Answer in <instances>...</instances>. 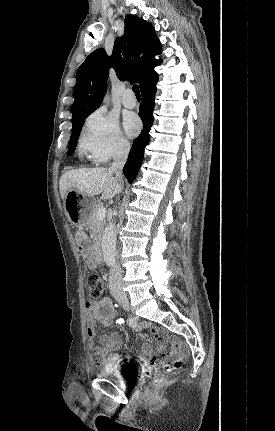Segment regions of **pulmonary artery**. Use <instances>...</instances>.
<instances>
[{
    "instance_id": "1",
    "label": "pulmonary artery",
    "mask_w": 275,
    "mask_h": 431,
    "mask_svg": "<svg viewBox=\"0 0 275 431\" xmlns=\"http://www.w3.org/2000/svg\"><path fill=\"white\" fill-rule=\"evenodd\" d=\"M122 103L127 108H134L137 104L136 98L130 89L125 90L122 96Z\"/></svg>"
}]
</instances>
